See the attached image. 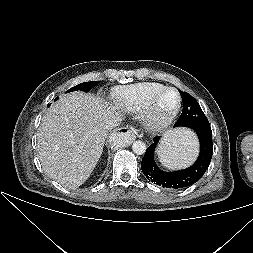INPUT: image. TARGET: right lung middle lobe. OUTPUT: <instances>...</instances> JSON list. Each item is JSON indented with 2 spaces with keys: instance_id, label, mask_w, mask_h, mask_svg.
Here are the masks:
<instances>
[{
  "instance_id": "right-lung-middle-lobe-1",
  "label": "right lung middle lobe",
  "mask_w": 253,
  "mask_h": 253,
  "mask_svg": "<svg viewBox=\"0 0 253 253\" xmlns=\"http://www.w3.org/2000/svg\"><path fill=\"white\" fill-rule=\"evenodd\" d=\"M99 83V81H93V82H84L81 84L76 85L75 87L69 89L67 92H71V91H84V92H89L93 87H95L97 84ZM58 97L55 99L57 100Z\"/></svg>"
}]
</instances>
